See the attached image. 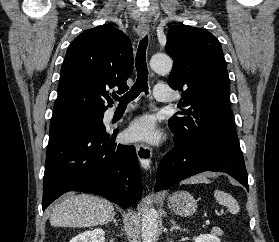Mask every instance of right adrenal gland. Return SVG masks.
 Returning <instances> with one entry per match:
<instances>
[{"instance_id":"2a0ac1e0","label":"right adrenal gland","mask_w":279,"mask_h":242,"mask_svg":"<svg viewBox=\"0 0 279 242\" xmlns=\"http://www.w3.org/2000/svg\"><path fill=\"white\" fill-rule=\"evenodd\" d=\"M115 224V226H118L117 220L115 219V213L111 215V217L104 223V225H107V223L112 222Z\"/></svg>"}]
</instances>
